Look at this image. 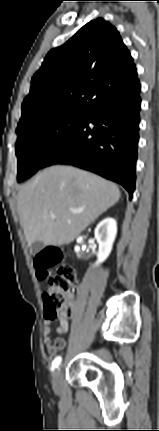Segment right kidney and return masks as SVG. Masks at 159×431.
I'll return each instance as SVG.
<instances>
[{
    "mask_svg": "<svg viewBox=\"0 0 159 431\" xmlns=\"http://www.w3.org/2000/svg\"><path fill=\"white\" fill-rule=\"evenodd\" d=\"M117 233L116 221L106 218L95 229V239L99 244L95 265L103 263L109 256Z\"/></svg>",
    "mask_w": 159,
    "mask_h": 431,
    "instance_id": "right-kidney-1",
    "label": "right kidney"
}]
</instances>
